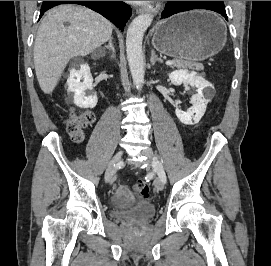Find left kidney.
Masks as SVG:
<instances>
[{
	"mask_svg": "<svg viewBox=\"0 0 271 266\" xmlns=\"http://www.w3.org/2000/svg\"><path fill=\"white\" fill-rule=\"evenodd\" d=\"M171 83L174 85L186 84L196 88V94L191 97L192 107L186 112L176 108L175 113L178 119L185 125L197 124L203 117L208 102L211 97L207 98L203 94L206 90L207 94L213 90V86L203 77L198 76L196 72L188 70H176L169 75Z\"/></svg>",
	"mask_w": 271,
	"mask_h": 266,
	"instance_id": "5707ae66",
	"label": "left kidney"
}]
</instances>
